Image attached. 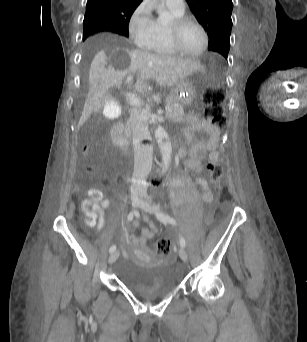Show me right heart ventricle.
I'll return each mask as SVG.
<instances>
[{
  "label": "right heart ventricle",
  "instance_id": "obj_1",
  "mask_svg": "<svg viewBox=\"0 0 307 342\" xmlns=\"http://www.w3.org/2000/svg\"><path fill=\"white\" fill-rule=\"evenodd\" d=\"M175 17H180L183 14H175L173 13ZM165 28H160L158 35L150 40L149 42L140 45L141 48L145 51L154 52L157 54H164V55H175L176 53L169 47V45L166 42L165 38Z\"/></svg>",
  "mask_w": 307,
  "mask_h": 342
}]
</instances>
